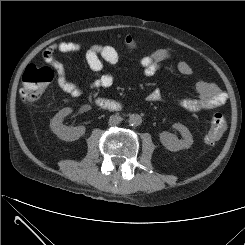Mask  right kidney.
<instances>
[{"label":"right kidney","instance_id":"right-kidney-1","mask_svg":"<svg viewBox=\"0 0 245 245\" xmlns=\"http://www.w3.org/2000/svg\"><path fill=\"white\" fill-rule=\"evenodd\" d=\"M72 112V109L67 107L60 110L51 120L50 128L61 140L75 141L85 134V127H69L63 125L64 118Z\"/></svg>","mask_w":245,"mask_h":245}]
</instances>
